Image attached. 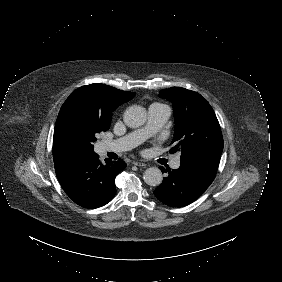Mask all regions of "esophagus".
I'll return each instance as SVG.
<instances>
[{
  "label": "esophagus",
  "instance_id": "34e87169",
  "mask_svg": "<svg viewBox=\"0 0 282 282\" xmlns=\"http://www.w3.org/2000/svg\"><path fill=\"white\" fill-rule=\"evenodd\" d=\"M132 163L138 167H146V164L143 162L133 161Z\"/></svg>",
  "mask_w": 282,
  "mask_h": 282
}]
</instances>
